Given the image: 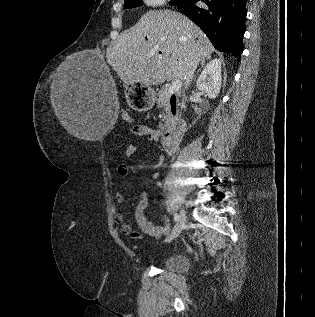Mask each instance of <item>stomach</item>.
<instances>
[{
  "instance_id": "1",
  "label": "stomach",
  "mask_w": 315,
  "mask_h": 317,
  "mask_svg": "<svg viewBox=\"0 0 315 317\" xmlns=\"http://www.w3.org/2000/svg\"><path fill=\"white\" fill-rule=\"evenodd\" d=\"M126 98H130V108H137L143 114H148L150 108H154L157 104V97H155L150 84H127Z\"/></svg>"
}]
</instances>
